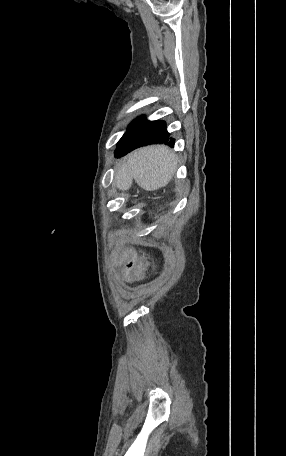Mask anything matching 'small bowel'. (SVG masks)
<instances>
[{"mask_svg": "<svg viewBox=\"0 0 286 456\" xmlns=\"http://www.w3.org/2000/svg\"><path fill=\"white\" fill-rule=\"evenodd\" d=\"M137 254L134 250L116 248L112 254V263L115 266L121 267L122 278L125 282L131 284L136 279L135 266L137 262Z\"/></svg>", "mask_w": 286, "mask_h": 456, "instance_id": "small-bowel-1", "label": "small bowel"}]
</instances>
